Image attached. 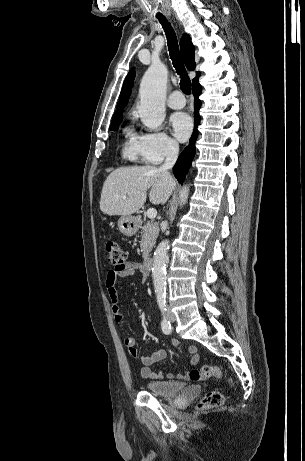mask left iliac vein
<instances>
[{
	"mask_svg": "<svg viewBox=\"0 0 305 461\" xmlns=\"http://www.w3.org/2000/svg\"><path fill=\"white\" fill-rule=\"evenodd\" d=\"M169 319L171 322L175 320L174 314L172 312H169Z\"/></svg>",
	"mask_w": 305,
	"mask_h": 461,
	"instance_id": "1",
	"label": "left iliac vein"
}]
</instances>
